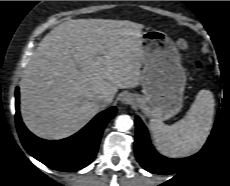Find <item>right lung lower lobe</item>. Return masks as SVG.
<instances>
[{
  "mask_svg": "<svg viewBox=\"0 0 230 186\" xmlns=\"http://www.w3.org/2000/svg\"><path fill=\"white\" fill-rule=\"evenodd\" d=\"M16 125L21 142L28 153L46 166L65 172L80 170L95 158L102 132L116 114L111 107L93 118L73 136L56 141L43 140L33 135L23 124L19 112V88L15 91Z\"/></svg>",
  "mask_w": 230,
  "mask_h": 186,
  "instance_id": "obj_1",
  "label": "right lung lower lobe"
}]
</instances>
